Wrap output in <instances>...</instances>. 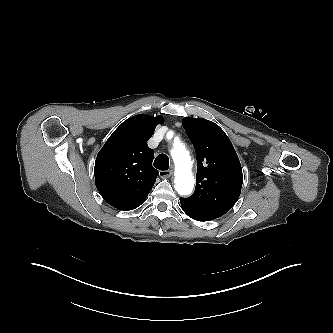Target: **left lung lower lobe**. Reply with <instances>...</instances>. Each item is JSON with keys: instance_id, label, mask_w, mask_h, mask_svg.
<instances>
[{"instance_id": "1", "label": "left lung lower lobe", "mask_w": 333, "mask_h": 333, "mask_svg": "<svg viewBox=\"0 0 333 333\" xmlns=\"http://www.w3.org/2000/svg\"><path fill=\"white\" fill-rule=\"evenodd\" d=\"M181 202V207L183 211L191 218L198 220V221H210L213 219H216L220 216H217L216 214L209 212L207 210H203L201 208L186 204L182 201Z\"/></svg>"}]
</instances>
